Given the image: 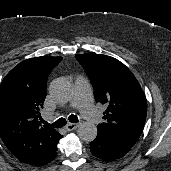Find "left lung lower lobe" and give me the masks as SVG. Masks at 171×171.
Returning <instances> with one entry per match:
<instances>
[{
  "label": "left lung lower lobe",
  "mask_w": 171,
  "mask_h": 171,
  "mask_svg": "<svg viewBox=\"0 0 171 171\" xmlns=\"http://www.w3.org/2000/svg\"><path fill=\"white\" fill-rule=\"evenodd\" d=\"M132 147L99 129L97 137L90 143L91 153L108 162L123 157Z\"/></svg>",
  "instance_id": "obj_1"
}]
</instances>
